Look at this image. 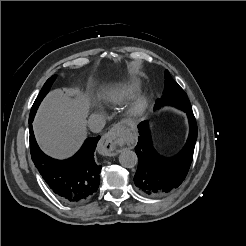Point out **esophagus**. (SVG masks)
Instances as JSON below:
<instances>
[{
	"label": "esophagus",
	"instance_id": "obj_1",
	"mask_svg": "<svg viewBox=\"0 0 246 246\" xmlns=\"http://www.w3.org/2000/svg\"><path fill=\"white\" fill-rule=\"evenodd\" d=\"M121 140L122 129L120 126H114L110 131L102 136L98 145V152L105 156L117 155L121 151L117 148Z\"/></svg>",
	"mask_w": 246,
	"mask_h": 246
}]
</instances>
